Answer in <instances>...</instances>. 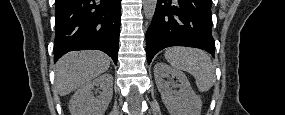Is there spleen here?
I'll list each match as a JSON object with an SVG mask.
<instances>
[{"instance_id": "spleen-1", "label": "spleen", "mask_w": 285, "mask_h": 115, "mask_svg": "<svg viewBox=\"0 0 285 115\" xmlns=\"http://www.w3.org/2000/svg\"><path fill=\"white\" fill-rule=\"evenodd\" d=\"M167 62L176 70L192 74L200 92H207L215 83V68L210 56L197 48L171 47L164 54Z\"/></svg>"}]
</instances>
